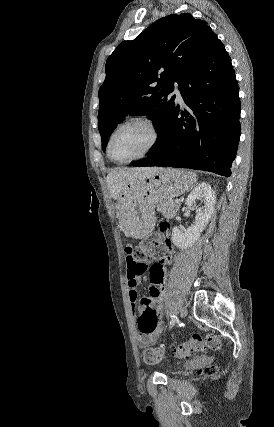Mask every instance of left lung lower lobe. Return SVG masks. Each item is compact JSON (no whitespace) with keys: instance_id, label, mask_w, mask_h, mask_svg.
Instances as JSON below:
<instances>
[{"instance_id":"0a47b994","label":"left lung lower lobe","mask_w":274,"mask_h":427,"mask_svg":"<svg viewBox=\"0 0 274 427\" xmlns=\"http://www.w3.org/2000/svg\"><path fill=\"white\" fill-rule=\"evenodd\" d=\"M187 105L173 102L148 156L133 166H170L231 175L240 138V100L231 59L217 36L179 82Z\"/></svg>"}]
</instances>
